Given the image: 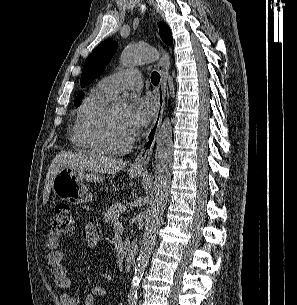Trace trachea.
<instances>
[{"label": "trachea", "instance_id": "3493384b", "mask_svg": "<svg viewBox=\"0 0 297 305\" xmlns=\"http://www.w3.org/2000/svg\"><path fill=\"white\" fill-rule=\"evenodd\" d=\"M151 82L153 85H158L160 82V75L156 71L151 74Z\"/></svg>", "mask_w": 297, "mask_h": 305}]
</instances>
